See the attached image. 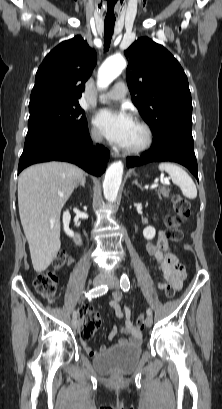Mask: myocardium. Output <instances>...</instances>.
<instances>
[{
    "instance_id": "f54148a6",
    "label": "myocardium",
    "mask_w": 222,
    "mask_h": 409,
    "mask_svg": "<svg viewBox=\"0 0 222 409\" xmlns=\"http://www.w3.org/2000/svg\"><path fill=\"white\" fill-rule=\"evenodd\" d=\"M134 123L138 125L143 133L144 140L143 142L135 147H124V152L131 155H139L146 152L154 142V133L150 125L142 119H135Z\"/></svg>"
}]
</instances>
